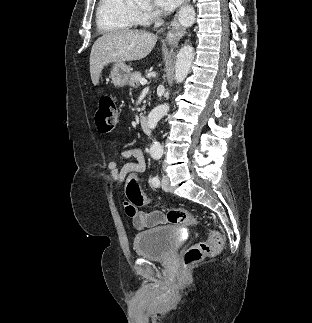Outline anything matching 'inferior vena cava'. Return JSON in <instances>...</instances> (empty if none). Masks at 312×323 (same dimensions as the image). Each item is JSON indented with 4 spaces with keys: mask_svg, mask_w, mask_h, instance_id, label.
Wrapping results in <instances>:
<instances>
[{
    "mask_svg": "<svg viewBox=\"0 0 312 323\" xmlns=\"http://www.w3.org/2000/svg\"><path fill=\"white\" fill-rule=\"evenodd\" d=\"M155 26L158 28V26H160V22H156Z\"/></svg>",
    "mask_w": 312,
    "mask_h": 323,
    "instance_id": "1",
    "label": "inferior vena cava"
}]
</instances>
